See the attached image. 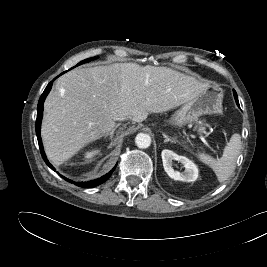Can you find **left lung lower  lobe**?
I'll return each mask as SVG.
<instances>
[{
  "instance_id": "1",
  "label": "left lung lower lobe",
  "mask_w": 267,
  "mask_h": 267,
  "mask_svg": "<svg viewBox=\"0 0 267 267\" xmlns=\"http://www.w3.org/2000/svg\"><path fill=\"white\" fill-rule=\"evenodd\" d=\"M233 93H234V97H235L236 103L239 106V101H238L237 93H236L235 90H233Z\"/></svg>"
}]
</instances>
